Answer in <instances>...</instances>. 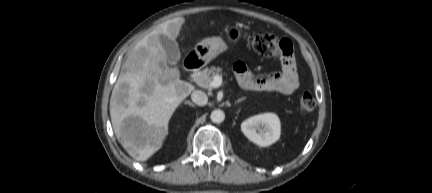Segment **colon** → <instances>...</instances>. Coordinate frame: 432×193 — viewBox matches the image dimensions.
<instances>
[{
	"instance_id": "obj_1",
	"label": "colon",
	"mask_w": 432,
	"mask_h": 193,
	"mask_svg": "<svg viewBox=\"0 0 432 193\" xmlns=\"http://www.w3.org/2000/svg\"><path fill=\"white\" fill-rule=\"evenodd\" d=\"M245 40L255 52L264 57L292 56L291 42L287 39H281L274 34L248 33L245 35ZM315 106L316 101L311 93L305 92L301 95L298 103V107L301 112H311L314 110Z\"/></svg>"
}]
</instances>
